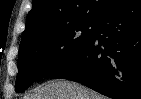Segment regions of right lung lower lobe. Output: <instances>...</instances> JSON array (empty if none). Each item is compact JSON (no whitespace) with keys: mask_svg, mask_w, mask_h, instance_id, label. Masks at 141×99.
Returning <instances> with one entry per match:
<instances>
[{"mask_svg":"<svg viewBox=\"0 0 141 99\" xmlns=\"http://www.w3.org/2000/svg\"><path fill=\"white\" fill-rule=\"evenodd\" d=\"M92 40L51 77L113 99H141V0H120L97 21Z\"/></svg>","mask_w":141,"mask_h":99,"instance_id":"98d812e1","label":"right lung lower lobe"}]
</instances>
